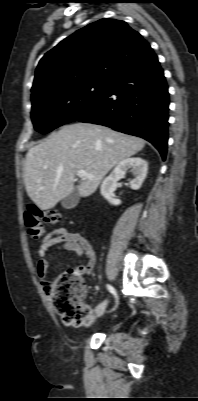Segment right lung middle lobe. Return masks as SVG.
<instances>
[{
  "instance_id": "dd1d6c3e",
  "label": "right lung middle lobe",
  "mask_w": 198,
  "mask_h": 401,
  "mask_svg": "<svg viewBox=\"0 0 198 401\" xmlns=\"http://www.w3.org/2000/svg\"><path fill=\"white\" fill-rule=\"evenodd\" d=\"M107 87V81H90L38 96L31 112L35 130L45 134L77 120L101 99Z\"/></svg>"
}]
</instances>
